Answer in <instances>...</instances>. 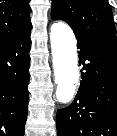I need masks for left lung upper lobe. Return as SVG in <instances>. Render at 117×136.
<instances>
[{"instance_id": "1", "label": "left lung upper lobe", "mask_w": 117, "mask_h": 136, "mask_svg": "<svg viewBox=\"0 0 117 136\" xmlns=\"http://www.w3.org/2000/svg\"><path fill=\"white\" fill-rule=\"evenodd\" d=\"M51 15L68 23L76 37L116 45V29L107 0H52Z\"/></svg>"}]
</instances>
